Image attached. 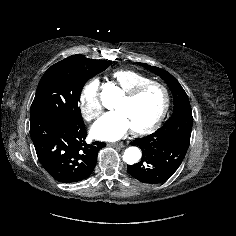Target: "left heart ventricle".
Wrapping results in <instances>:
<instances>
[{"label": "left heart ventricle", "instance_id": "1", "mask_svg": "<svg viewBox=\"0 0 236 236\" xmlns=\"http://www.w3.org/2000/svg\"><path fill=\"white\" fill-rule=\"evenodd\" d=\"M164 104V94L158 87H150L132 101L124 97L116 105L128 118L131 128H143L151 124L160 114Z\"/></svg>", "mask_w": 236, "mask_h": 236}]
</instances>
